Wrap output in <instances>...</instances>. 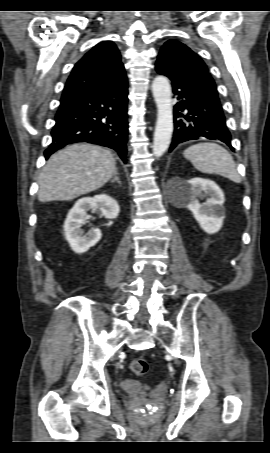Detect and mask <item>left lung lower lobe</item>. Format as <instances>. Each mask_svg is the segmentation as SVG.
Returning <instances> with one entry per match:
<instances>
[{"label": "left lung lower lobe", "instance_id": "left-lung-lower-lobe-1", "mask_svg": "<svg viewBox=\"0 0 270 453\" xmlns=\"http://www.w3.org/2000/svg\"><path fill=\"white\" fill-rule=\"evenodd\" d=\"M156 70L171 80L173 92L179 100L174 108V119L184 118L174 121L169 152L182 142L201 138L218 139L234 151L217 92L179 76L163 63L157 62ZM184 110L188 111L187 115L180 112Z\"/></svg>", "mask_w": 270, "mask_h": 453}]
</instances>
